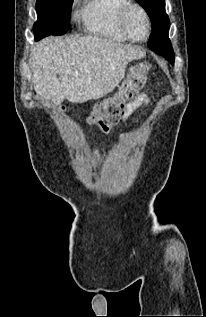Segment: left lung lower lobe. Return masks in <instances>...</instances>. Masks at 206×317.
I'll list each match as a JSON object with an SVG mask.
<instances>
[{
	"label": "left lung lower lobe",
	"instance_id": "obj_1",
	"mask_svg": "<svg viewBox=\"0 0 206 317\" xmlns=\"http://www.w3.org/2000/svg\"><path fill=\"white\" fill-rule=\"evenodd\" d=\"M148 47L155 53L164 56L167 60H170L174 63V54L170 42L164 41L148 43Z\"/></svg>",
	"mask_w": 206,
	"mask_h": 317
}]
</instances>
